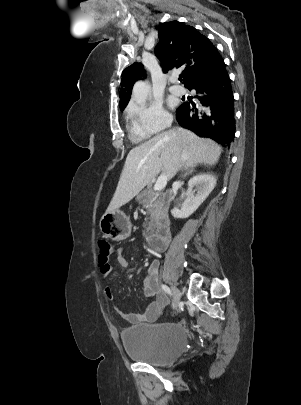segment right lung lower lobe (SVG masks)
<instances>
[{
  "label": "right lung lower lobe",
  "instance_id": "98d812e1",
  "mask_svg": "<svg viewBox=\"0 0 301 405\" xmlns=\"http://www.w3.org/2000/svg\"><path fill=\"white\" fill-rule=\"evenodd\" d=\"M195 89L202 107L187 103L178 107V123L201 137H208L223 147H230L235 137L234 96L224 61L210 75L188 86Z\"/></svg>",
  "mask_w": 301,
  "mask_h": 405
}]
</instances>
